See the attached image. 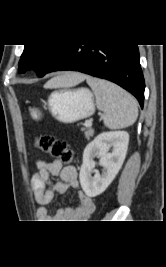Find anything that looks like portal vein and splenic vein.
Here are the masks:
<instances>
[{"label": "portal vein and splenic vein", "instance_id": "18ae733b", "mask_svg": "<svg viewBox=\"0 0 166 267\" xmlns=\"http://www.w3.org/2000/svg\"><path fill=\"white\" fill-rule=\"evenodd\" d=\"M85 126H86V127H91V126H92V122H91L90 120H87V121L85 122Z\"/></svg>", "mask_w": 166, "mask_h": 267}]
</instances>
